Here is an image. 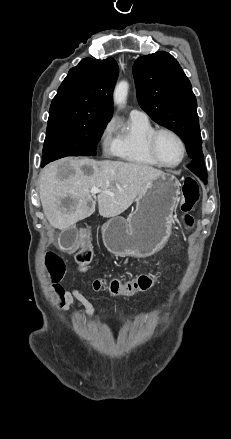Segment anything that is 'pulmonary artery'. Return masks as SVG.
Instances as JSON below:
<instances>
[{"label":"pulmonary artery","mask_w":231,"mask_h":439,"mask_svg":"<svg viewBox=\"0 0 231 439\" xmlns=\"http://www.w3.org/2000/svg\"><path fill=\"white\" fill-rule=\"evenodd\" d=\"M130 115L131 116H136V117L148 118L147 114L144 111L139 110V109L131 110Z\"/></svg>","instance_id":"e3ab8cb5"}]
</instances>
